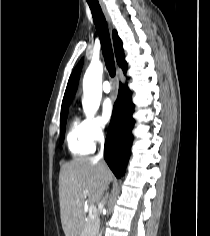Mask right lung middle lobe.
I'll return each mask as SVG.
<instances>
[{
    "instance_id": "obj_1",
    "label": "right lung middle lobe",
    "mask_w": 210,
    "mask_h": 236,
    "mask_svg": "<svg viewBox=\"0 0 210 236\" xmlns=\"http://www.w3.org/2000/svg\"><path fill=\"white\" fill-rule=\"evenodd\" d=\"M67 111L61 112V115H60V128H61L60 142L61 143L63 142L64 134H65L66 120H67Z\"/></svg>"
}]
</instances>
